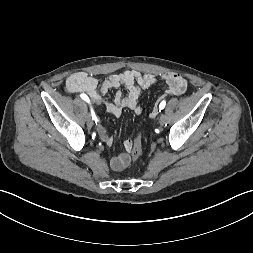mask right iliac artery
<instances>
[{
  "label": "right iliac artery",
  "mask_w": 253,
  "mask_h": 253,
  "mask_svg": "<svg viewBox=\"0 0 253 253\" xmlns=\"http://www.w3.org/2000/svg\"><path fill=\"white\" fill-rule=\"evenodd\" d=\"M80 97H81L83 100H85L86 102H89V98H88V96H87L86 94H81ZM91 116H92V119H95V118H96L95 113H94V111H93L92 108H91ZM96 120H97V119H96ZM96 120H95V122H96ZM96 123H97V122H96Z\"/></svg>",
  "instance_id": "right-iliac-artery-1"
}]
</instances>
